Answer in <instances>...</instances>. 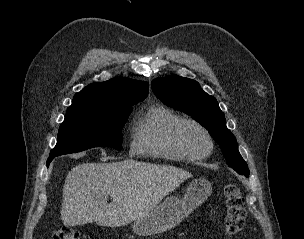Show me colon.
<instances>
[{
	"label": "colon",
	"mask_w": 304,
	"mask_h": 239,
	"mask_svg": "<svg viewBox=\"0 0 304 239\" xmlns=\"http://www.w3.org/2000/svg\"><path fill=\"white\" fill-rule=\"evenodd\" d=\"M225 203L224 233L227 239L236 236L244 227L246 209L241 189L236 182L227 183L223 189ZM52 239H81V234L66 226H59Z\"/></svg>",
	"instance_id": "1"
}]
</instances>
